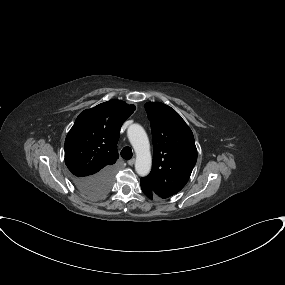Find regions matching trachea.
<instances>
[{"instance_id":"1","label":"trachea","mask_w":285,"mask_h":285,"mask_svg":"<svg viewBox=\"0 0 285 285\" xmlns=\"http://www.w3.org/2000/svg\"><path fill=\"white\" fill-rule=\"evenodd\" d=\"M121 156L126 159V160H129L132 158L133 156V153H132V149L130 147H124L122 149V151L120 152Z\"/></svg>"}]
</instances>
